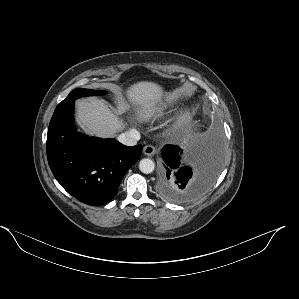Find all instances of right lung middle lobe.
Here are the masks:
<instances>
[{
    "label": "right lung middle lobe",
    "mask_w": 299,
    "mask_h": 299,
    "mask_svg": "<svg viewBox=\"0 0 299 299\" xmlns=\"http://www.w3.org/2000/svg\"><path fill=\"white\" fill-rule=\"evenodd\" d=\"M106 91H97V90H92V89H81L78 88L74 91H72L65 100H63L55 110L60 109L64 106H67L68 104L74 102L77 98L81 96H94V95H104L106 94Z\"/></svg>",
    "instance_id": "right-lung-middle-lobe-1"
}]
</instances>
